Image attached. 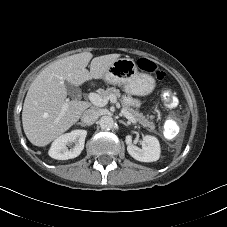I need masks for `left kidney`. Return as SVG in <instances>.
<instances>
[{"label": "left kidney", "instance_id": "5707ae66", "mask_svg": "<svg viewBox=\"0 0 227 227\" xmlns=\"http://www.w3.org/2000/svg\"><path fill=\"white\" fill-rule=\"evenodd\" d=\"M128 153L136 160L141 162H154L160 158V144L156 137L151 135L143 136L142 148L132 144L131 135L126 136Z\"/></svg>", "mask_w": 227, "mask_h": 227}]
</instances>
